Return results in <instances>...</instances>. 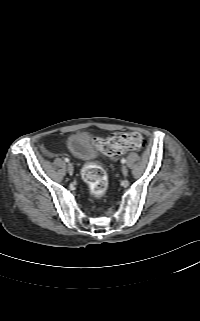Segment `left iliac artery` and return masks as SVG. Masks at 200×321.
Segmentation results:
<instances>
[{"label": "left iliac artery", "mask_w": 200, "mask_h": 321, "mask_svg": "<svg viewBox=\"0 0 200 321\" xmlns=\"http://www.w3.org/2000/svg\"><path fill=\"white\" fill-rule=\"evenodd\" d=\"M121 163H123V164L126 163V159H125V158H122V159H121Z\"/></svg>", "instance_id": "left-iliac-artery-1"}]
</instances>
